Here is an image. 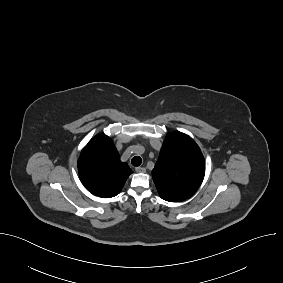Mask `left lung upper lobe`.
I'll list each match as a JSON object with an SVG mask.
<instances>
[{
    "instance_id": "obj_1",
    "label": "left lung upper lobe",
    "mask_w": 283,
    "mask_h": 283,
    "mask_svg": "<svg viewBox=\"0 0 283 283\" xmlns=\"http://www.w3.org/2000/svg\"><path fill=\"white\" fill-rule=\"evenodd\" d=\"M205 175V160L200 148L184 133L168 134L152 176L160 197L179 202L191 197Z\"/></svg>"
}]
</instances>
